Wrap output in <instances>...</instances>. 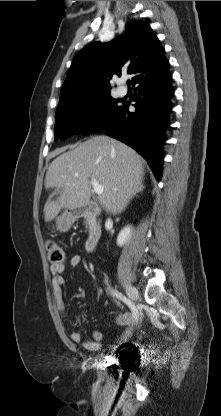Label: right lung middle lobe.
<instances>
[{"label":"right lung middle lobe","mask_w":221,"mask_h":416,"mask_svg":"<svg viewBox=\"0 0 221 416\" xmlns=\"http://www.w3.org/2000/svg\"><path fill=\"white\" fill-rule=\"evenodd\" d=\"M110 92L60 103L56 111L55 140L77 133H95L107 124L120 106Z\"/></svg>","instance_id":"dd1d6c3e"}]
</instances>
